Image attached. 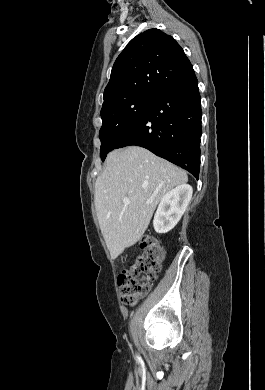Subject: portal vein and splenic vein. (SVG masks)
I'll use <instances>...</instances> for the list:
<instances>
[{"label": "portal vein and splenic vein", "mask_w": 265, "mask_h": 390, "mask_svg": "<svg viewBox=\"0 0 265 390\" xmlns=\"http://www.w3.org/2000/svg\"><path fill=\"white\" fill-rule=\"evenodd\" d=\"M123 203H124L125 205H128V204L130 203V200H129L128 198H124V199H123Z\"/></svg>", "instance_id": "18ae733b"}]
</instances>
